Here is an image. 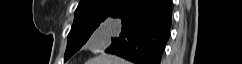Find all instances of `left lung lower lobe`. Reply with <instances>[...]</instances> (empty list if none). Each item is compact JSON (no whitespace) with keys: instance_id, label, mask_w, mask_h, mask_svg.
Returning a JSON list of instances; mask_svg holds the SVG:
<instances>
[{"instance_id":"1","label":"left lung lower lobe","mask_w":242,"mask_h":64,"mask_svg":"<svg viewBox=\"0 0 242 64\" xmlns=\"http://www.w3.org/2000/svg\"><path fill=\"white\" fill-rule=\"evenodd\" d=\"M107 18L119 20L122 27L106 53L135 64L161 63L172 24V0H125Z\"/></svg>"}]
</instances>
